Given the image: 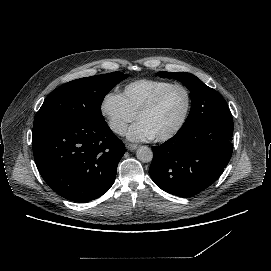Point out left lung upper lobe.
<instances>
[{"label":"left lung upper lobe","instance_id":"obj_1","mask_svg":"<svg viewBox=\"0 0 271 271\" xmlns=\"http://www.w3.org/2000/svg\"><path fill=\"white\" fill-rule=\"evenodd\" d=\"M157 75L174 78L190 90L191 110L182 128L193 126L197 122L207 119H232L230 110L221 94L205 85L196 76L186 72H158Z\"/></svg>","mask_w":271,"mask_h":271}]
</instances>
